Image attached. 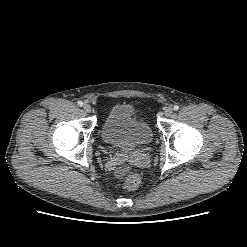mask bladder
Masks as SVG:
<instances>
[{
  "mask_svg": "<svg viewBox=\"0 0 247 247\" xmlns=\"http://www.w3.org/2000/svg\"><path fill=\"white\" fill-rule=\"evenodd\" d=\"M101 138L116 150L133 153L152 142L153 131L131 105L117 104L102 122Z\"/></svg>",
  "mask_w": 247,
  "mask_h": 247,
  "instance_id": "obj_1",
  "label": "bladder"
}]
</instances>
